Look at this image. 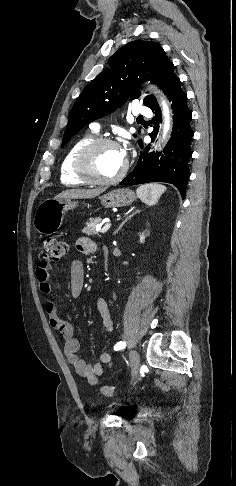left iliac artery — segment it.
Returning <instances> with one entry per match:
<instances>
[{
  "label": "left iliac artery",
  "instance_id": "44dca946",
  "mask_svg": "<svg viewBox=\"0 0 236 486\" xmlns=\"http://www.w3.org/2000/svg\"><path fill=\"white\" fill-rule=\"evenodd\" d=\"M125 345H126V344H125V342L120 341V342H118V343H117V344L114 346V350H115V351H118V350H120V349L124 348V347H125Z\"/></svg>",
  "mask_w": 236,
  "mask_h": 486
}]
</instances>
